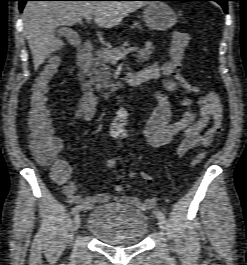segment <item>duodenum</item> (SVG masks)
Returning a JSON list of instances; mask_svg holds the SVG:
<instances>
[{
    "label": "duodenum",
    "mask_w": 247,
    "mask_h": 265,
    "mask_svg": "<svg viewBox=\"0 0 247 265\" xmlns=\"http://www.w3.org/2000/svg\"><path fill=\"white\" fill-rule=\"evenodd\" d=\"M93 52L92 42L89 40L84 41L77 51L76 66L78 76L81 82V86L84 94H95L96 89L90 78V63ZM125 81L129 86H139L147 82L146 79H138L133 72H127L125 75Z\"/></svg>",
    "instance_id": "410a0bca"
}]
</instances>
